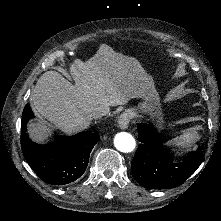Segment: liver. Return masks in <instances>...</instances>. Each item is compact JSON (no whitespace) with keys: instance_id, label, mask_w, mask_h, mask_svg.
Here are the masks:
<instances>
[{"instance_id":"6515ba94","label":"liver","mask_w":221,"mask_h":221,"mask_svg":"<svg viewBox=\"0 0 221 221\" xmlns=\"http://www.w3.org/2000/svg\"><path fill=\"white\" fill-rule=\"evenodd\" d=\"M112 53L111 47L102 44L88 61L75 60L71 70L76 85L57 71L43 73L30 95L35 114L71 135L89 127L95 107L114 106L126 102L130 95L135 96L136 88L146 83L140 79L143 70H130L114 62ZM27 129L30 138L38 143L45 142L50 135L41 121H31Z\"/></svg>"}]
</instances>
